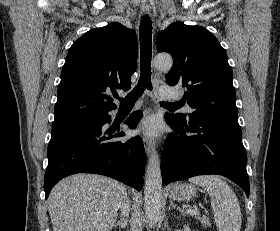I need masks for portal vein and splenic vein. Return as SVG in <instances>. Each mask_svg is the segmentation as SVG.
<instances>
[{"label":"portal vein and splenic vein","mask_w":280,"mask_h":231,"mask_svg":"<svg viewBox=\"0 0 280 231\" xmlns=\"http://www.w3.org/2000/svg\"><path fill=\"white\" fill-rule=\"evenodd\" d=\"M187 213H190V215H199L198 209H187Z\"/></svg>","instance_id":"1"}]
</instances>
